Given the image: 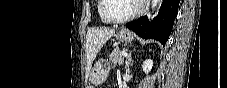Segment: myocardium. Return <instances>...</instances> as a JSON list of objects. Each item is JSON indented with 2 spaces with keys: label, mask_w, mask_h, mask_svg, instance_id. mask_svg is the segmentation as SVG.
Segmentation results:
<instances>
[{
  "label": "myocardium",
  "mask_w": 227,
  "mask_h": 88,
  "mask_svg": "<svg viewBox=\"0 0 227 88\" xmlns=\"http://www.w3.org/2000/svg\"><path fill=\"white\" fill-rule=\"evenodd\" d=\"M107 4V0H101V7H100V15L104 19L105 22L111 23V24H125L134 18H136L140 12L143 9V3L141 1H138L137 7L133 13H131L129 16L122 18V19H110L105 14V7Z\"/></svg>",
  "instance_id": "myocardium-1"
}]
</instances>
